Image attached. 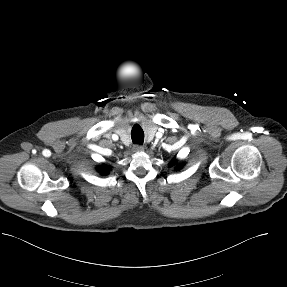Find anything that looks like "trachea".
Instances as JSON below:
<instances>
[{
	"instance_id": "3493384b",
	"label": "trachea",
	"mask_w": 287,
	"mask_h": 287,
	"mask_svg": "<svg viewBox=\"0 0 287 287\" xmlns=\"http://www.w3.org/2000/svg\"><path fill=\"white\" fill-rule=\"evenodd\" d=\"M132 141L133 143H136V144H143V141H144V134L143 132H139V133H133L132 134Z\"/></svg>"
}]
</instances>
